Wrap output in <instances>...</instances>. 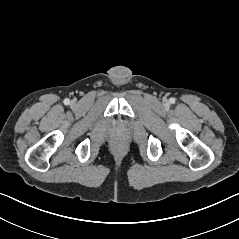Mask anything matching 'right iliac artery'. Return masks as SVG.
Here are the masks:
<instances>
[{
    "label": "right iliac artery",
    "instance_id": "1",
    "mask_svg": "<svg viewBox=\"0 0 239 239\" xmlns=\"http://www.w3.org/2000/svg\"><path fill=\"white\" fill-rule=\"evenodd\" d=\"M69 103H70V100H69V99H65V100H64V104H65V105H68Z\"/></svg>",
    "mask_w": 239,
    "mask_h": 239
}]
</instances>
